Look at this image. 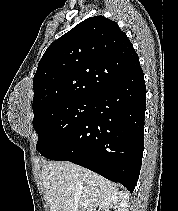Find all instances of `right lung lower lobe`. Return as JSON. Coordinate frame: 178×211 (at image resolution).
Masks as SVG:
<instances>
[{"instance_id":"right-lung-lower-lobe-1","label":"right lung lower lobe","mask_w":178,"mask_h":211,"mask_svg":"<svg viewBox=\"0 0 178 211\" xmlns=\"http://www.w3.org/2000/svg\"><path fill=\"white\" fill-rule=\"evenodd\" d=\"M145 107L141 69L95 98L87 119L45 157L81 165L133 192L143 156Z\"/></svg>"}]
</instances>
